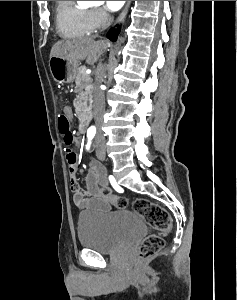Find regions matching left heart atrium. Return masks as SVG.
I'll return each instance as SVG.
<instances>
[{
  "label": "left heart atrium",
  "instance_id": "left-heart-atrium-1",
  "mask_svg": "<svg viewBox=\"0 0 237 300\" xmlns=\"http://www.w3.org/2000/svg\"><path fill=\"white\" fill-rule=\"evenodd\" d=\"M125 1H105V8L110 12H116L120 10Z\"/></svg>",
  "mask_w": 237,
  "mask_h": 300
}]
</instances>
